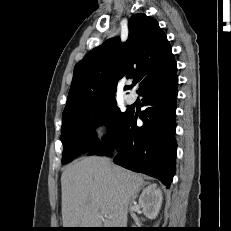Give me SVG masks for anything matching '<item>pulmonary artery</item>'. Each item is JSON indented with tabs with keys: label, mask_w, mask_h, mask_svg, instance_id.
I'll list each match as a JSON object with an SVG mask.
<instances>
[{
	"label": "pulmonary artery",
	"mask_w": 231,
	"mask_h": 231,
	"mask_svg": "<svg viewBox=\"0 0 231 231\" xmlns=\"http://www.w3.org/2000/svg\"><path fill=\"white\" fill-rule=\"evenodd\" d=\"M125 101L127 104H133L136 101V96L133 93H129L125 96Z\"/></svg>",
	"instance_id": "e3ab8cb5"
}]
</instances>
